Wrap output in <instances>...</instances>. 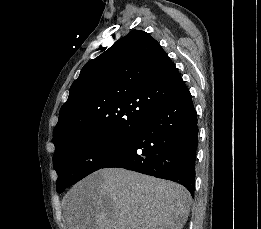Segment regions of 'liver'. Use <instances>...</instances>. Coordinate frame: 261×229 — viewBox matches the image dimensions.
<instances>
[{"instance_id": "6515ba94", "label": "liver", "mask_w": 261, "mask_h": 229, "mask_svg": "<svg viewBox=\"0 0 261 229\" xmlns=\"http://www.w3.org/2000/svg\"><path fill=\"white\" fill-rule=\"evenodd\" d=\"M191 195L185 187L126 169H100L63 199L68 229H183Z\"/></svg>"}]
</instances>
